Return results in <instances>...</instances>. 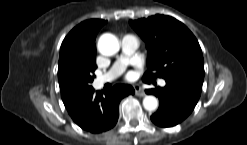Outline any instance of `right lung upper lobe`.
<instances>
[{
	"label": "right lung upper lobe",
	"mask_w": 247,
	"mask_h": 145,
	"mask_svg": "<svg viewBox=\"0 0 247 145\" xmlns=\"http://www.w3.org/2000/svg\"><path fill=\"white\" fill-rule=\"evenodd\" d=\"M106 22L91 19L73 28L62 42L59 60L65 57H75L85 61H95V38Z\"/></svg>",
	"instance_id": "1"
}]
</instances>
